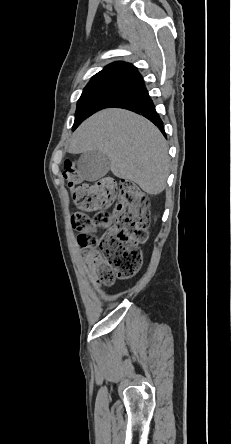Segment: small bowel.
<instances>
[{
  "label": "small bowel",
  "mask_w": 231,
  "mask_h": 444,
  "mask_svg": "<svg viewBox=\"0 0 231 444\" xmlns=\"http://www.w3.org/2000/svg\"><path fill=\"white\" fill-rule=\"evenodd\" d=\"M82 262L87 267L93 281L99 284L100 274L105 269V262L102 257L96 252L86 250L83 253Z\"/></svg>",
  "instance_id": "obj_1"
}]
</instances>
